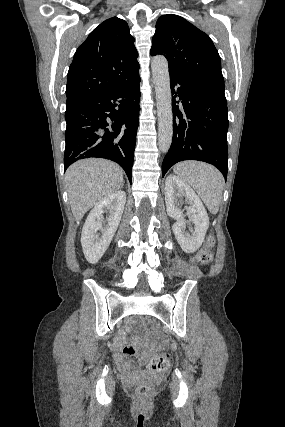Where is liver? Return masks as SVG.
<instances>
[{"mask_svg":"<svg viewBox=\"0 0 285 427\" xmlns=\"http://www.w3.org/2000/svg\"><path fill=\"white\" fill-rule=\"evenodd\" d=\"M65 183L72 213L80 221L93 206L121 188L123 170L109 160L83 159L67 169Z\"/></svg>","mask_w":285,"mask_h":427,"instance_id":"liver-1","label":"liver"}]
</instances>
